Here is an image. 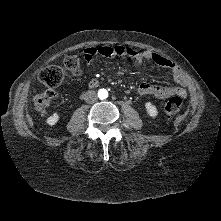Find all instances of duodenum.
I'll return each mask as SVG.
<instances>
[{
  "instance_id": "obj_1",
  "label": "duodenum",
  "mask_w": 221,
  "mask_h": 221,
  "mask_svg": "<svg viewBox=\"0 0 221 221\" xmlns=\"http://www.w3.org/2000/svg\"><path fill=\"white\" fill-rule=\"evenodd\" d=\"M89 85H90V87L97 86L98 85V80H96V79L91 80Z\"/></svg>"
}]
</instances>
